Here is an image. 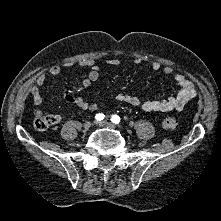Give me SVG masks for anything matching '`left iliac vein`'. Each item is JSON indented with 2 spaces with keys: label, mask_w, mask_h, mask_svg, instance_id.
Returning <instances> with one entry per match:
<instances>
[{
  "label": "left iliac vein",
  "mask_w": 221,
  "mask_h": 221,
  "mask_svg": "<svg viewBox=\"0 0 221 221\" xmlns=\"http://www.w3.org/2000/svg\"><path fill=\"white\" fill-rule=\"evenodd\" d=\"M97 125L101 127L109 128V129H116V126L114 124L109 123L107 121H99L97 122Z\"/></svg>",
  "instance_id": "left-iliac-vein-1"
}]
</instances>
